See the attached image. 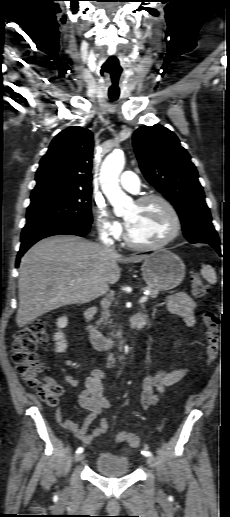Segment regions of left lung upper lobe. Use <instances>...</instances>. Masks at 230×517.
Masks as SVG:
<instances>
[{
	"label": "left lung upper lobe",
	"instance_id": "obj_1",
	"mask_svg": "<svg viewBox=\"0 0 230 517\" xmlns=\"http://www.w3.org/2000/svg\"><path fill=\"white\" fill-rule=\"evenodd\" d=\"M133 146L142 173L173 204L189 242L218 238L196 167L177 136L161 125L143 126Z\"/></svg>",
	"mask_w": 230,
	"mask_h": 517
}]
</instances>
